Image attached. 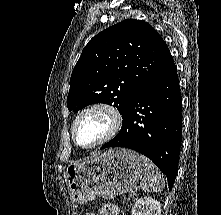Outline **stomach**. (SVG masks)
<instances>
[{
	"mask_svg": "<svg viewBox=\"0 0 221 215\" xmlns=\"http://www.w3.org/2000/svg\"><path fill=\"white\" fill-rule=\"evenodd\" d=\"M65 175L73 202L84 204L96 196L112 199L136 187L141 178V156L129 149L112 148L68 165Z\"/></svg>",
	"mask_w": 221,
	"mask_h": 215,
	"instance_id": "1",
	"label": "stomach"
}]
</instances>
